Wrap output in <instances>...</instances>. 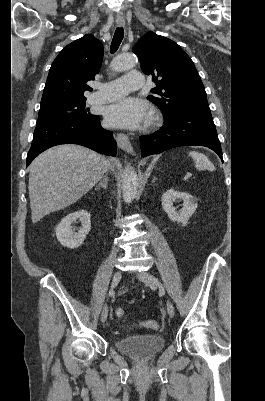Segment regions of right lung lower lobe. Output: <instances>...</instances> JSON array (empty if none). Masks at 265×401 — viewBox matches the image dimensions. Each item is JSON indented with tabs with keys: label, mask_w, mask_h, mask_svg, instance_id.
I'll return each instance as SVG.
<instances>
[{
	"label": "right lung lower lobe",
	"mask_w": 265,
	"mask_h": 401,
	"mask_svg": "<svg viewBox=\"0 0 265 401\" xmlns=\"http://www.w3.org/2000/svg\"><path fill=\"white\" fill-rule=\"evenodd\" d=\"M99 120L100 117L84 120L48 119L38 122L27 155V166L44 150L66 143L80 144L99 153L115 156L117 145L113 134L103 129Z\"/></svg>",
	"instance_id": "obj_1"
}]
</instances>
